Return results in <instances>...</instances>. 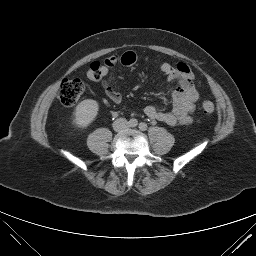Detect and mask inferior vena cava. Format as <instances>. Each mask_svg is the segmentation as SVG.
I'll list each match as a JSON object with an SVG mask.
<instances>
[{"label": "inferior vena cava", "mask_w": 256, "mask_h": 256, "mask_svg": "<svg viewBox=\"0 0 256 256\" xmlns=\"http://www.w3.org/2000/svg\"><path fill=\"white\" fill-rule=\"evenodd\" d=\"M128 128V122L125 118H118L113 122V129L118 132L126 131Z\"/></svg>", "instance_id": "obj_1"}]
</instances>
